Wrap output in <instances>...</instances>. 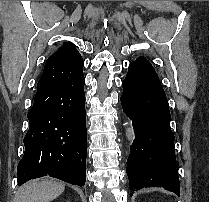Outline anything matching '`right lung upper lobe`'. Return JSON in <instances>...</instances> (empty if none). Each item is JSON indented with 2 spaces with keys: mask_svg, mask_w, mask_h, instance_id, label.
Listing matches in <instances>:
<instances>
[{
  "mask_svg": "<svg viewBox=\"0 0 209 202\" xmlns=\"http://www.w3.org/2000/svg\"><path fill=\"white\" fill-rule=\"evenodd\" d=\"M51 57H65L67 59L65 64H61L60 69L69 76L75 77L83 73L84 62L80 53L74 46L65 44L51 55L50 58Z\"/></svg>",
  "mask_w": 209,
  "mask_h": 202,
  "instance_id": "1",
  "label": "right lung upper lobe"
}]
</instances>
